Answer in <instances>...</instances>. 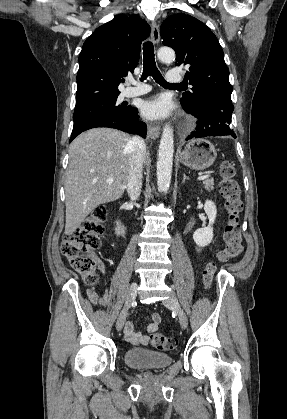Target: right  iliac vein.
I'll return each instance as SVG.
<instances>
[{
	"mask_svg": "<svg viewBox=\"0 0 287 419\" xmlns=\"http://www.w3.org/2000/svg\"><path fill=\"white\" fill-rule=\"evenodd\" d=\"M136 295H137V283L134 282L130 285V287L128 289L124 307H123V309H122V311H121V313H120V315L117 319V322H116V329L118 331L122 330V328L124 326V323L126 321L128 310H129L131 304L134 302V300L136 298Z\"/></svg>",
	"mask_w": 287,
	"mask_h": 419,
	"instance_id": "obj_1",
	"label": "right iliac vein"
}]
</instances>
